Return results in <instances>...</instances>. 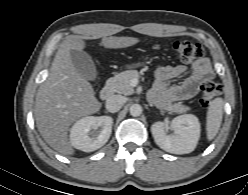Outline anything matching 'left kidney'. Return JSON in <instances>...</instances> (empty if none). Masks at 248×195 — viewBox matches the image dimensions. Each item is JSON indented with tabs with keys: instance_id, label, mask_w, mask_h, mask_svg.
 Segmentation results:
<instances>
[{
	"instance_id": "1",
	"label": "left kidney",
	"mask_w": 248,
	"mask_h": 195,
	"mask_svg": "<svg viewBox=\"0 0 248 195\" xmlns=\"http://www.w3.org/2000/svg\"><path fill=\"white\" fill-rule=\"evenodd\" d=\"M173 134H168L163 122H155L151 132L156 144L163 150L173 154L192 152L200 137V123L192 114L175 117L171 122Z\"/></svg>"
}]
</instances>
